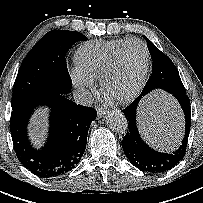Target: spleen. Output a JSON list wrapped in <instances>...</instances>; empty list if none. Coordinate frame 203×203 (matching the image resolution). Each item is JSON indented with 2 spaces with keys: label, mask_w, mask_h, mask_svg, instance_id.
Here are the masks:
<instances>
[{
  "label": "spleen",
  "mask_w": 203,
  "mask_h": 203,
  "mask_svg": "<svg viewBox=\"0 0 203 203\" xmlns=\"http://www.w3.org/2000/svg\"><path fill=\"white\" fill-rule=\"evenodd\" d=\"M155 99L157 100V101H159V103L161 104V103H167L168 102V100H167V98L166 97H164V96H155ZM163 107V106H162Z\"/></svg>",
  "instance_id": "obj_1"
}]
</instances>
